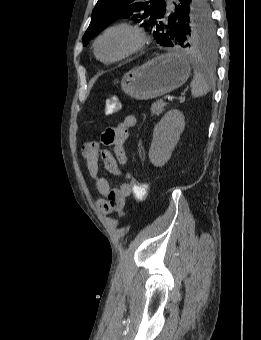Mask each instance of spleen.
Listing matches in <instances>:
<instances>
[{
    "label": "spleen",
    "instance_id": "1",
    "mask_svg": "<svg viewBox=\"0 0 261 340\" xmlns=\"http://www.w3.org/2000/svg\"><path fill=\"white\" fill-rule=\"evenodd\" d=\"M214 79L204 68L196 65L194 67V78L191 82V92L193 97L206 95L213 85Z\"/></svg>",
    "mask_w": 261,
    "mask_h": 340
}]
</instances>
